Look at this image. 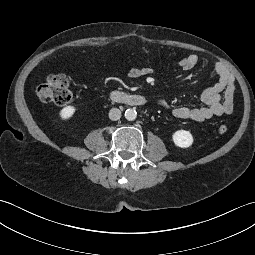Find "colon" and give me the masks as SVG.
Returning <instances> with one entry per match:
<instances>
[{
    "label": "colon",
    "instance_id": "obj_1",
    "mask_svg": "<svg viewBox=\"0 0 255 255\" xmlns=\"http://www.w3.org/2000/svg\"><path fill=\"white\" fill-rule=\"evenodd\" d=\"M37 98L44 103H52L60 106H67L73 100V95L69 89V83L65 75L54 73L47 77L46 81L36 88ZM228 128L220 125L218 132L225 134Z\"/></svg>",
    "mask_w": 255,
    "mask_h": 255
}]
</instances>
